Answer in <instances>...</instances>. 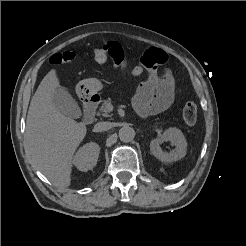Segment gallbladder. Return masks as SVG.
<instances>
[{"label":"gallbladder","mask_w":246,"mask_h":246,"mask_svg":"<svg viewBox=\"0 0 246 246\" xmlns=\"http://www.w3.org/2000/svg\"><path fill=\"white\" fill-rule=\"evenodd\" d=\"M53 104L65 116L79 118L81 110L67 89L58 87L53 95Z\"/></svg>","instance_id":"gallbladder-1"}]
</instances>
